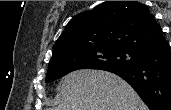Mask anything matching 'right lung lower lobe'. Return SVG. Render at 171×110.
<instances>
[{"label":"right lung lower lobe","instance_id":"obj_1","mask_svg":"<svg viewBox=\"0 0 171 110\" xmlns=\"http://www.w3.org/2000/svg\"><path fill=\"white\" fill-rule=\"evenodd\" d=\"M108 71L126 80L150 110H171V51L166 40L138 52L134 65Z\"/></svg>","mask_w":171,"mask_h":110}]
</instances>
